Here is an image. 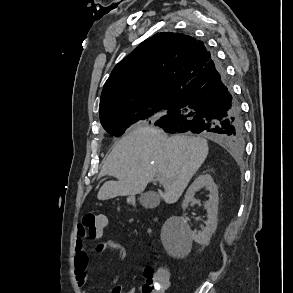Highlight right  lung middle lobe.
Here are the masks:
<instances>
[{"label": "right lung middle lobe", "instance_id": "1", "mask_svg": "<svg viewBox=\"0 0 293 293\" xmlns=\"http://www.w3.org/2000/svg\"><path fill=\"white\" fill-rule=\"evenodd\" d=\"M176 99L172 98L169 100H164L159 104L153 106L150 109H145L142 111L122 114V115H112L106 116L100 119L103 128L114 136L122 135L125 130L132 124L143 121V120H153L156 121L166 113L174 111L176 108Z\"/></svg>", "mask_w": 293, "mask_h": 293}]
</instances>
